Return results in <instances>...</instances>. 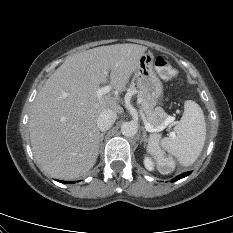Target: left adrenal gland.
Wrapping results in <instances>:
<instances>
[{"label":"left adrenal gland","mask_w":233,"mask_h":233,"mask_svg":"<svg viewBox=\"0 0 233 233\" xmlns=\"http://www.w3.org/2000/svg\"><path fill=\"white\" fill-rule=\"evenodd\" d=\"M142 141H144V146H146V143H147L148 139H147L146 130L144 128H143Z\"/></svg>","instance_id":"obj_1"}]
</instances>
